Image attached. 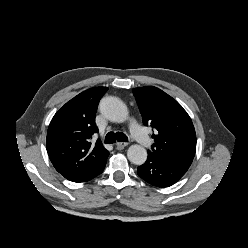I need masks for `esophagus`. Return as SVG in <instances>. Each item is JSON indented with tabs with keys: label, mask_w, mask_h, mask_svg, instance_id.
Returning <instances> with one entry per match:
<instances>
[{
	"label": "esophagus",
	"mask_w": 248,
	"mask_h": 248,
	"mask_svg": "<svg viewBox=\"0 0 248 248\" xmlns=\"http://www.w3.org/2000/svg\"><path fill=\"white\" fill-rule=\"evenodd\" d=\"M126 146H128V143H126V142H117L116 143V147H117V149H124Z\"/></svg>",
	"instance_id": "esophagus-1"
}]
</instances>
